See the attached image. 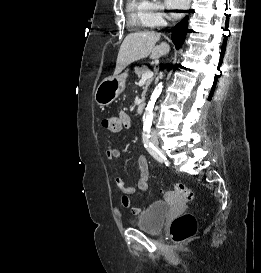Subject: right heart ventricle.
Wrapping results in <instances>:
<instances>
[{
  "label": "right heart ventricle",
  "mask_w": 261,
  "mask_h": 273,
  "mask_svg": "<svg viewBox=\"0 0 261 273\" xmlns=\"http://www.w3.org/2000/svg\"><path fill=\"white\" fill-rule=\"evenodd\" d=\"M127 13L130 23L139 30L153 27L149 17V2L147 0H128Z\"/></svg>",
  "instance_id": "1"
}]
</instances>
